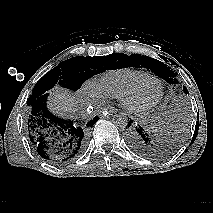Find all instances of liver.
Returning a JSON list of instances; mask_svg holds the SVG:
<instances>
[{
	"mask_svg": "<svg viewBox=\"0 0 213 213\" xmlns=\"http://www.w3.org/2000/svg\"><path fill=\"white\" fill-rule=\"evenodd\" d=\"M53 112L61 116H68L77 110V102L74 96L62 88H56L49 101Z\"/></svg>",
	"mask_w": 213,
	"mask_h": 213,
	"instance_id": "obj_1",
	"label": "liver"
}]
</instances>
